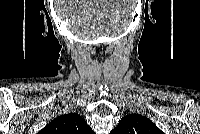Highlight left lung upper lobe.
I'll return each instance as SVG.
<instances>
[{"label":"left lung upper lobe","mask_w":200,"mask_h":134,"mask_svg":"<svg viewBox=\"0 0 200 134\" xmlns=\"http://www.w3.org/2000/svg\"><path fill=\"white\" fill-rule=\"evenodd\" d=\"M111 134H162V131L148 118L129 114L121 119Z\"/></svg>","instance_id":"5c2ea615"}]
</instances>
